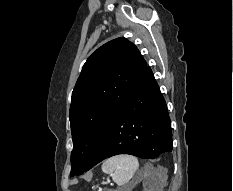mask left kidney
I'll return each mask as SVG.
<instances>
[{"label": "left kidney", "mask_w": 233, "mask_h": 191, "mask_svg": "<svg viewBox=\"0 0 233 191\" xmlns=\"http://www.w3.org/2000/svg\"><path fill=\"white\" fill-rule=\"evenodd\" d=\"M150 178L151 177L149 175H144L142 177V179H144L146 182H149L151 180ZM162 185H163V180L159 177L157 179V182L152 184L151 188H153V189L149 190V191H162L161 190Z\"/></svg>", "instance_id": "1"}]
</instances>
